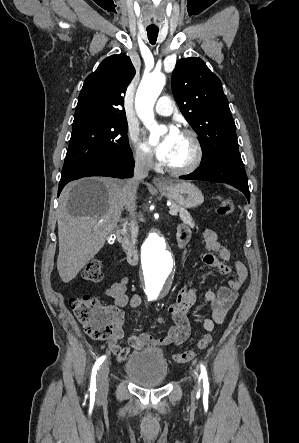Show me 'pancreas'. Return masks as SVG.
Wrapping results in <instances>:
<instances>
[{
	"mask_svg": "<svg viewBox=\"0 0 299 443\" xmlns=\"http://www.w3.org/2000/svg\"><path fill=\"white\" fill-rule=\"evenodd\" d=\"M170 209L177 211V213H179L181 220L185 224H187L191 228L195 227V223L193 221V218L191 217L190 213L185 208L172 202L170 205ZM126 235H127V238L125 239V242L127 244L134 246V244L136 243V237L138 235V226L136 225L135 222L131 223L129 225V227L126 229Z\"/></svg>",
	"mask_w": 299,
	"mask_h": 443,
	"instance_id": "pancreas-1",
	"label": "pancreas"
}]
</instances>
